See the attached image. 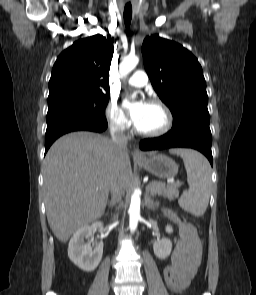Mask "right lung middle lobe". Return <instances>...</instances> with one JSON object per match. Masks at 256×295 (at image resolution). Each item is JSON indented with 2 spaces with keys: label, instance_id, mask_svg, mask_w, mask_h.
Returning <instances> with one entry per match:
<instances>
[{
  "label": "right lung middle lobe",
  "instance_id": "dd1d6c3e",
  "mask_svg": "<svg viewBox=\"0 0 256 295\" xmlns=\"http://www.w3.org/2000/svg\"><path fill=\"white\" fill-rule=\"evenodd\" d=\"M109 95H65L48 101L47 116L56 113L104 115Z\"/></svg>",
  "mask_w": 256,
  "mask_h": 295
}]
</instances>
